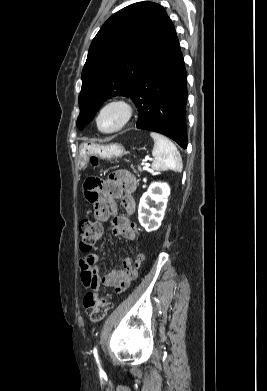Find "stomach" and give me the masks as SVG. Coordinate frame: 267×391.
I'll use <instances>...</instances> for the list:
<instances>
[{
    "label": "stomach",
    "instance_id": "1",
    "mask_svg": "<svg viewBox=\"0 0 267 391\" xmlns=\"http://www.w3.org/2000/svg\"><path fill=\"white\" fill-rule=\"evenodd\" d=\"M125 154L124 147L119 143L107 145L97 143H84L79 149L78 167L86 168L89 158L92 155L99 156L102 159L120 158Z\"/></svg>",
    "mask_w": 267,
    "mask_h": 391
}]
</instances>
